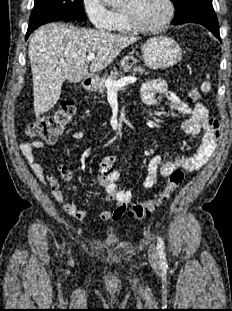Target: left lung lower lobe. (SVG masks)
I'll use <instances>...</instances> for the list:
<instances>
[{
  "instance_id": "obj_1",
  "label": "left lung lower lobe",
  "mask_w": 232,
  "mask_h": 311,
  "mask_svg": "<svg viewBox=\"0 0 232 311\" xmlns=\"http://www.w3.org/2000/svg\"><path fill=\"white\" fill-rule=\"evenodd\" d=\"M197 23L205 26L220 41L219 27L211 0H194L175 13L171 24Z\"/></svg>"
}]
</instances>
